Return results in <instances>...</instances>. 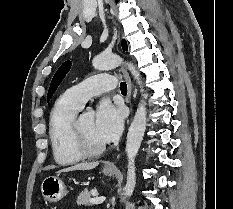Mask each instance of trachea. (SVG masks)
<instances>
[{"mask_svg": "<svg viewBox=\"0 0 233 209\" xmlns=\"http://www.w3.org/2000/svg\"><path fill=\"white\" fill-rule=\"evenodd\" d=\"M120 90L122 94H127V84L125 82L120 83Z\"/></svg>", "mask_w": 233, "mask_h": 209, "instance_id": "trachea-1", "label": "trachea"}]
</instances>
